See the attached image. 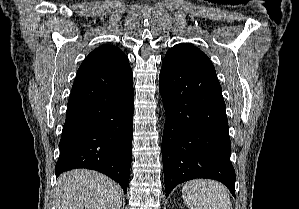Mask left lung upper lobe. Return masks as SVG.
<instances>
[{
    "label": "left lung upper lobe",
    "mask_w": 299,
    "mask_h": 209,
    "mask_svg": "<svg viewBox=\"0 0 299 209\" xmlns=\"http://www.w3.org/2000/svg\"><path fill=\"white\" fill-rule=\"evenodd\" d=\"M162 61L176 66L214 69L212 62L205 53L187 43L177 44L170 48Z\"/></svg>",
    "instance_id": "left-lung-upper-lobe-1"
}]
</instances>
